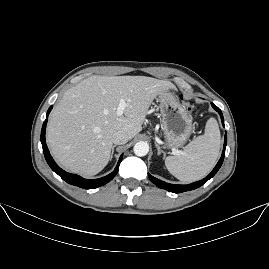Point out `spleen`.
I'll return each instance as SVG.
<instances>
[{
    "instance_id": "1",
    "label": "spleen",
    "mask_w": 269,
    "mask_h": 269,
    "mask_svg": "<svg viewBox=\"0 0 269 269\" xmlns=\"http://www.w3.org/2000/svg\"><path fill=\"white\" fill-rule=\"evenodd\" d=\"M220 129L215 118L208 119L204 135L191 141L180 154L168 156L165 166L178 180L191 183L204 178L219 156Z\"/></svg>"
}]
</instances>
